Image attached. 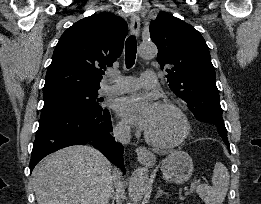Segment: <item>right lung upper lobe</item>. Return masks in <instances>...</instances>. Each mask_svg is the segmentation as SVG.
<instances>
[{
    "mask_svg": "<svg viewBox=\"0 0 261 204\" xmlns=\"http://www.w3.org/2000/svg\"><path fill=\"white\" fill-rule=\"evenodd\" d=\"M127 31L124 19L106 12L74 23L55 47L43 94L98 90L100 74L121 55Z\"/></svg>",
    "mask_w": 261,
    "mask_h": 204,
    "instance_id": "right-lung-upper-lobe-1",
    "label": "right lung upper lobe"
}]
</instances>
